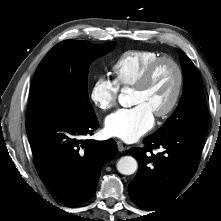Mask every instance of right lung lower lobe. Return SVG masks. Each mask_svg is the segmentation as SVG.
<instances>
[{
  "label": "right lung lower lobe",
  "mask_w": 221,
  "mask_h": 221,
  "mask_svg": "<svg viewBox=\"0 0 221 221\" xmlns=\"http://www.w3.org/2000/svg\"><path fill=\"white\" fill-rule=\"evenodd\" d=\"M98 126L97 117L80 119L50 113L26 120L36 170L47 188L67 204H82L93 197L102 167L117 152L113 139L81 140Z\"/></svg>",
  "instance_id": "98d812e1"
}]
</instances>
